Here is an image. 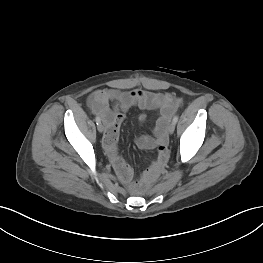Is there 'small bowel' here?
<instances>
[{
    "mask_svg": "<svg viewBox=\"0 0 263 263\" xmlns=\"http://www.w3.org/2000/svg\"><path fill=\"white\" fill-rule=\"evenodd\" d=\"M89 103L93 112L101 117L106 126L103 137L104 149L115 171L126 184H131L133 171L118 149L119 130L125 113L134 106L159 113L153 136H141L137 140L141 149L158 148L157 159L148 170L149 175L155 174L167 160V123L177 110L180 100L169 94L143 89L124 91L112 88L96 90L90 96ZM145 118V115L140 116L141 121H144Z\"/></svg>",
    "mask_w": 263,
    "mask_h": 263,
    "instance_id": "c3829d8e",
    "label": "small bowel"
}]
</instances>
